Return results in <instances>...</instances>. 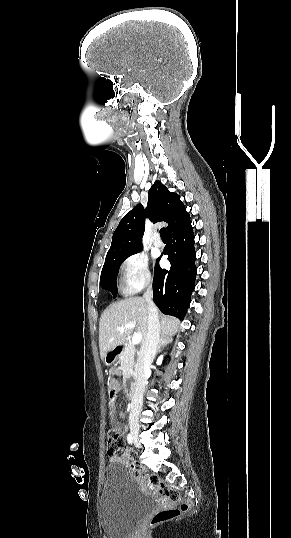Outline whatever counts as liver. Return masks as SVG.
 <instances>
[{"mask_svg":"<svg viewBox=\"0 0 291 538\" xmlns=\"http://www.w3.org/2000/svg\"><path fill=\"white\" fill-rule=\"evenodd\" d=\"M136 324L137 333L144 341L148 327V303L142 297H130L111 304L104 310L99 322V348L103 360L106 353L126 342L133 328L120 331L127 323ZM180 321L172 316H161V335L172 336L179 328Z\"/></svg>","mask_w":291,"mask_h":538,"instance_id":"1","label":"liver"}]
</instances>
